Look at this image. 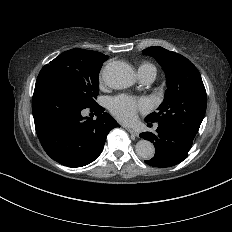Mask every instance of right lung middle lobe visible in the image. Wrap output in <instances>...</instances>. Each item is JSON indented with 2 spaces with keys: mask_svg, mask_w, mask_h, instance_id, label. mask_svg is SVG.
Returning a JSON list of instances; mask_svg holds the SVG:
<instances>
[{
  "mask_svg": "<svg viewBox=\"0 0 232 232\" xmlns=\"http://www.w3.org/2000/svg\"><path fill=\"white\" fill-rule=\"evenodd\" d=\"M106 59L83 53L60 54L41 69L37 81L56 83L81 105L96 106L98 103L95 99L99 93L98 75Z\"/></svg>",
  "mask_w": 232,
  "mask_h": 232,
  "instance_id": "dd1d6c3e",
  "label": "right lung middle lobe"
}]
</instances>
